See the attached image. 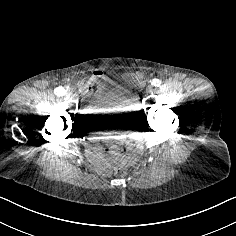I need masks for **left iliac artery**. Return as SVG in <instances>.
I'll use <instances>...</instances> for the list:
<instances>
[{"mask_svg": "<svg viewBox=\"0 0 236 236\" xmlns=\"http://www.w3.org/2000/svg\"><path fill=\"white\" fill-rule=\"evenodd\" d=\"M151 84H152L153 86L159 87L160 84H161V81H160L159 79L154 78V79L152 80Z\"/></svg>", "mask_w": 236, "mask_h": 236, "instance_id": "1", "label": "left iliac artery"}]
</instances>
